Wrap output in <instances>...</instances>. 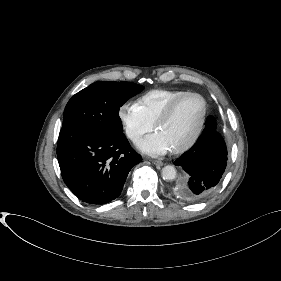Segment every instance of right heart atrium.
Here are the masks:
<instances>
[{"label": "right heart atrium", "mask_w": 281, "mask_h": 281, "mask_svg": "<svg viewBox=\"0 0 281 281\" xmlns=\"http://www.w3.org/2000/svg\"><path fill=\"white\" fill-rule=\"evenodd\" d=\"M118 117L126 136L133 142H137L153 129V124L146 118L136 102L123 103L118 109Z\"/></svg>", "instance_id": "obj_1"}]
</instances>
